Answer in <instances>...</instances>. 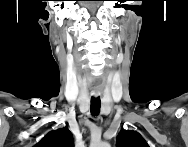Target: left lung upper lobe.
<instances>
[{"label":"left lung upper lobe","mask_w":188,"mask_h":147,"mask_svg":"<svg viewBox=\"0 0 188 147\" xmlns=\"http://www.w3.org/2000/svg\"><path fill=\"white\" fill-rule=\"evenodd\" d=\"M117 147H149L143 137L133 130H122L117 136Z\"/></svg>","instance_id":"5c2ea615"}]
</instances>
